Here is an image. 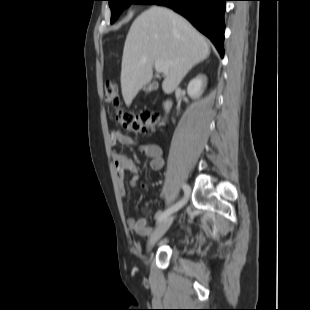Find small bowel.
I'll return each mask as SVG.
<instances>
[{
  "label": "small bowel",
  "mask_w": 310,
  "mask_h": 310,
  "mask_svg": "<svg viewBox=\"0 0 310 310\" xmlns=\"http://www.w3.org/2000/svg\"><path fill=\"white\" fill-rule=\"evenodd\" d=\"M109 142L112 147L111 155L121 196L126 195V188L124 186L126 173L128 172L132 174L129 181L131 187H135L141 181V176L139 175V170L134 160L122 154L116 147L118 143L125 146H136L141 154L150 158L149 167L152 170H159L164 165L165 160L162 149L156 144L139 143L129 135L123 134L118 130H111L109 132ZM162 213V211H157L154 218L157 220ZM127 223L129 228L140 236H148L152 232V228L149 226L146 218H140L137 220L128 218Z\"/></svg>",
  "instance_id": "obj_1"
}]
</instances>
